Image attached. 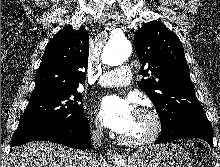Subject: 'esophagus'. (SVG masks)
I'll return each instance as SVG.
<instances>
[{
    "label": "esophagus",
    "instance_id": "esophagus-1",
    "mask_svg": "<svg viewBox=\"0 0 220 167\" xmlns=\"http://www.w3.org/2000/svg\"><path fill=\"white\" fill-rule=\"evenodd\" d=\"M106 156H107V158L109 159V160H119L120 159V155H119V153L118 152H116V151H113V150H107V152H106Z\"/></svg>",
    "mask_w": 220,
    "mask_h": 167
}]
</instances>
